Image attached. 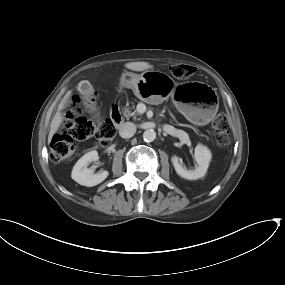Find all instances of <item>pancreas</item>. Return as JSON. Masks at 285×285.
Returning <instances> with one entry per match:
<instances>
[{
	"label": "pancreas",
	"mask_w": 285,
	"mask_h": 285,
	"mask_svg": "<svg viewBox=\"0 0 285 285\" xmlns=\"http://www.w3.org/2000/svg\"><path fill=\"white\" fill-rule=\"evenodd\" d=\"M135 106L133 105L132 106V109H134ZM136 110L132 111L130 108H127L125 107L124 110H123V115L126 117V118H129V117H134L135 118V115H136Z\"/></svg>",
	"instance_id": "cf45deb5"
}]
</instances>
